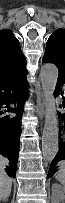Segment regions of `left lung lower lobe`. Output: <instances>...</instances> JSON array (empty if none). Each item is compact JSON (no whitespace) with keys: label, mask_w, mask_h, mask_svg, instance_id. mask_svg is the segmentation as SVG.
<instances>
[{"label":"left lung lower lobe","mask_w":65,"mask_h":203,"mask_svg":"<svg viewBox=\"0 0 65 203\" xmlns=\"http://www.w3.org/2000/svg\"><path fill=\"white\" fill-rule=\"evenodd\" d=\"M43 62L50 63L49 61H47L45 59H43ZM62 88L65 90V73L59 72L56 90H55V96L65 94V91H62ZM60 107L64 109V112H62V113L58 112V116L64 120V125H63L64 138L60 139V148H59V151L56 154L54 160L51 163L48 177L53 176L58 171L57 163L59 161H63V163L65 164V97H63V102Z\"/></svg>","instance_id":"obj_1"}]
</instances>
